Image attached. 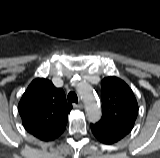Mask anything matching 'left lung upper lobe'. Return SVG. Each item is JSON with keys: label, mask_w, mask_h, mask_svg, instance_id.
<instances>
[{"label": "left lung upper lobe", "mask_w": 160, "mask_h": 158, "mask_svg": "<svg viewBox=\"0 0 160 158\" xmlns=\"http://www.w3.org/2000/svg\"><path fill=\"white\" fill-rule=\"evenodd\" d=\"M101 87L102 118L97 124L126 136L133 129L139 110L133 91L115 76L104 78Z\"/></svg>", "instance_id": "left-lung-upper-lobe-1"}]
</instances>
